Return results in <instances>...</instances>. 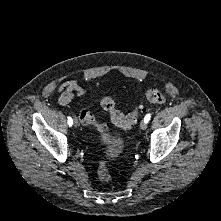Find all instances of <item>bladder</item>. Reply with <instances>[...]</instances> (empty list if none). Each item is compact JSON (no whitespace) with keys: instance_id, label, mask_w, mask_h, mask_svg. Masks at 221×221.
<instances>
[{"instance_id":"31cf9c89","label":"bladder","mask_w":221,"mask_h":221,"mask_svg":"<svg viewBox=\"0 0 221 221\" xmlns=\"http://www.w3.org/2000/svg\"><path fill=\"white\" fill-rule=\"evenodd\" d=\"M112 151L110 155L111 161H116L125 153V141L122 138H116L111 141Z\"/></svg>"}]
</instances>
